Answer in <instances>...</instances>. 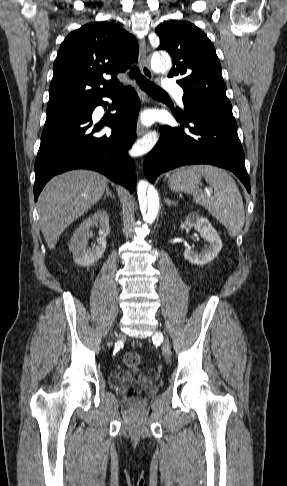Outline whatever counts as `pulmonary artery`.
<instances>
[{"label":"pulmonary artery","mask_w":287,"mask_h":486,"mask_svg":"<svg viewBox=\"0 0 287 486\" xmlns=\"http://www.w3.org/2000/svg\"><path fill=\"white\" fill-rule=\"evenodd\" d=\"M163 90L166 92L173 93L177 96V99L182 102L183 90L182 88L172 79H165L162 84Z\"/></svg>","instance_id":"pulmonary-artery-1"}]
</instances>
